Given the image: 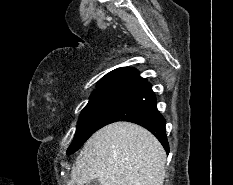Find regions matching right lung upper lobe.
<instances>
[{
    "label": "right lung upper lobe",
    "mask_w": 233,
    "mask_h": 185,
    "mask_svg": "<svg viewBox=\"0 0 233 185\" xmlns=\"http://www.w3.org/2000/svg\"><path fill=\"white\" fill-rule=\"evenodd\" d=\"M145 82H147V80L141 78L136 69L128 67L118 68L104 76L100 80L99 87L95 91L112 89L131 91Z\"/></svg>",
    "instance_id": "cb5924a9"
}]
</instances>
